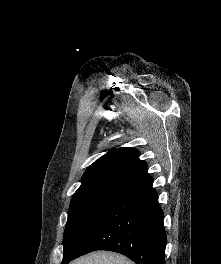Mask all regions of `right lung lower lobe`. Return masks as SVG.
<instances>
[{
  "label": "right lung lower lobe",
  "mask_w": 221,
  "mask_h": 264,
  "mask_svg": "<svg viewBox=\"0 0 221 264\" xmlns=\"http://www.w3.org/2000/svg\"><path fill=\"white\" fill-rule=\"evenodd\" d=\"M149 176L127 187L68 264L95 250L121 253L136 264H165L163 211Z\"/></svg>",
  "instance_id": "right-lung-lower-lobe-1"
}]
</instances>
